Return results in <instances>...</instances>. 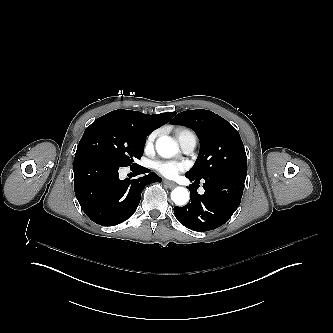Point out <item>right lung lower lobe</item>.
<instances>
[{
    "label": "right lung lower lobe",
    "instance_id": "obj_1",
    "mask_svg": "<svg viewBox=\"0 0 333 333\" xmlns=\"http://www.w3.org/2000/svg\"><path fill=\"white\" fill-rule=\"evenodd\" d=\"M119 166L89 151H76L74 190L84 213L102 226H115L128 219L139 205L143 188L161 178L139 165L131 166L135 180L119 179ZM136 176V174H135Z\"/></svg>",
    "mask_w": 333,
    "mask_h": 333
}]
</instances>
